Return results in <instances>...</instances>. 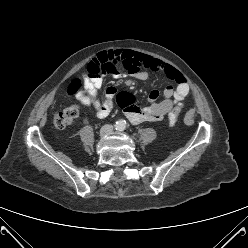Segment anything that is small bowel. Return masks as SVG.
<instances>
[{"label": "small bowel", "mask_w": 248, "mask_h": 248, "mask_svg": "<svg viewBox=\"0 0 248 248\" xmlns=\"http://www.w3.org/2000/svg\"><path fill=\"white\" fill-rule=\"evenodd\" d=\"M109 60L114 67L108 71L113 72L116 76L121 74L117 69L129 72L131 76L139 80H145L149 76V71L162 73L168 79L176 83V87L167 86L163 92L161 101H157L158 91L153 90L149 99L151 103L145 107H138L132 102L125 109V115L132 124L143 122H153L162 120L165 115L176 105H178L189 93V85L186 78L173 66L162 62L159 59L149 55L132 52L129 50H116L101 54L90 64L96 66L99 62ZM89 64V65H90ZM103 79L101 76L89 77L85 80V86L89 95L82 99L86 107H91L92 114L97 118L107 117L113 107V97L117 92L115 87H108L106 98L100 102L97 97V90L102 86Z\"/></svg>", "instance_id": "c3829d8e"}]
</instances>
